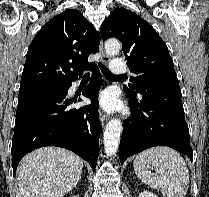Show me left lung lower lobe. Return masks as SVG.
Instances as JSON below:
<instances>
[{
	"instance_id": "0a47b994",
	"label": "left lung lower lobe",
	"mask_w": 209,
	"mask_h": 197,
	"mask_svg": "<svg viewBox=\"0 0 209 197\" xmlns=\"http://www.w3.org/2000/svg\"><path fill=\"white\" fill-rule=\"evenodd\" d=\"M125 92L132 99V114L125 121L120 141L121 164L129 156L153 146L171 147L192 160L181 89L146 87L138 93Z\"/></svg>"
}]
</instances>
